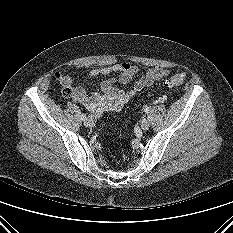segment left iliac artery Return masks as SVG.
<instances>
[{"label": "left iliac artery", "mask_w": 233, "mask_h": 233, "mask_svg": "<svg viewBox=\"0 0 233 233\" xmlns=\"http://www.w3.org/2000/svg\"><path fill=\"white\" fill-rule=\"evenodd\" d=\"M143 110H144L145 113H148L149 108H148V107H145Z\"/></svg>", "instance_id": "1"}]
</instances>
